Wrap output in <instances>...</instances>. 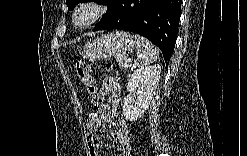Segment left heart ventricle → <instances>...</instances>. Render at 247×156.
Masks as SVG:
<instances>
[{
	"label": "left heart ventricle",
	"instance_id": "left-heart-ventricle-1",
	"mask_svg": "<svg viewBox=\"0 0 247 156\" xmlns=\"http://www.w3.org/2000/svg\"><path fill=\"white\" fill-rule=\"evenodd\" d=\"M92 15V11L90 9H84L81 11V13L78 15V22L83 23L87 21Z\"/></svg>",
	"mask_w": 247,
	"mask_h": 156
}]
</instances>
